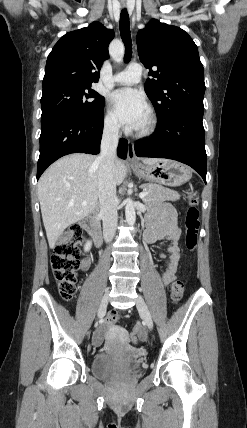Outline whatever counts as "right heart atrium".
I'll return each instance as SVG.
<instances>
[{"instance_id":"d8ad5b80","label":"right heart atrium","mask_w":247,"mask_h":428,"mask_svg":"<svg viewBox=\"0 0 247 428\" xmlns=\"http://www.w3.org/2000/svg\"><path fill=\"white\" fill-rule=\"evenodd\" d=\"M103 123H104V129L106 132L110 134H117L119 132L120 124L117 118L115 117V115L113 114V112L111 111L106 112Z\"/></svg>"}]
</instances>
